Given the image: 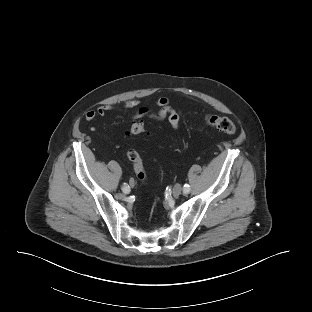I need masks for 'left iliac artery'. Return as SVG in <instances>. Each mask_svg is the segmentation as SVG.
<instances>
[{
  "mask_svg": "<svg viewBox=\"0 0 312 312\" xmlns=\"http://www.w3.org/2000/svg\"><path fill=\"white\" fill-rule=\"evenodd\" d=\"M189 191H190V186H189V184H185L184 187H183V192H184V193H189Z\"/></svg>",
  "mask_w": 312,
  "mask_h": 312,
  "instance_id": "1",
  "label": "left iliac artery"
}]
</instances>
